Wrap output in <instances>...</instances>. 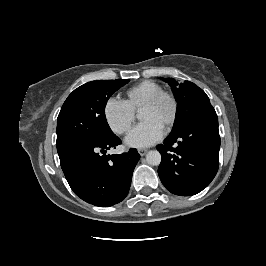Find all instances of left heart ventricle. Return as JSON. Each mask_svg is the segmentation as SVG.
I'll return each mask as SVG.
<instances>
[{
  "label": "left heart ventricle",
  "instance_id": "1",
  "mask_svg": "<svg viewBox=\"0 0 266 266\" xmlns=\"http://www.w3.org/2000/svg\"><path fill=\"white\" fill-rule=\"evenodd\" d=\"M171 113V104L168 101H163L157 106H145L141 111L142 120L155 119L161 124H165Z\"/></svg>",
  "mask_w": 266,
  "mask_h": 266
}]
</instances>
